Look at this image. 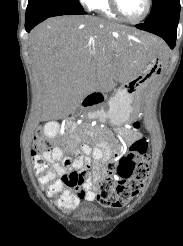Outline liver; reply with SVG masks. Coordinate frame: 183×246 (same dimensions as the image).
I'll return each mask as SVG.
<instances>
[{"label":"liver","mask_w":183,"mask_h":246,"mask_svg":"<svg viewBox=\"0 0 183 246\" xmlns=\"http://www.w3.org/2000/svg\"><path fill=\"white\" fill-rule=\"evenodd\" d=\"M131 34L156 52L164 48L153 36L93 16L50 18L31 31V60L57 117L68 116L87 95L110 91L142 72L147 57L126 40Z\"/></svg>","instance_id":"obj_1"}]
</instances>
